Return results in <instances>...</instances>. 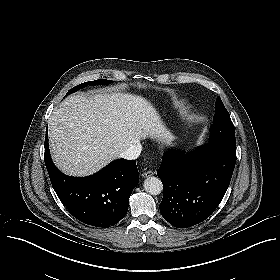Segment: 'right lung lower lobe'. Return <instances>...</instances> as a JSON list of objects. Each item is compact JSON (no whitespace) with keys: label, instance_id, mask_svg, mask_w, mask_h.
<instances>
[{"label":"right lung lower lobe","instance_id":"98d812e1","mask_svg":"<svg viewBox=\"0 0 280 280\" xmlns=\"http://www.w3.org/2000/svg\"><path fill=\"white\" fill-rule=\"evenodd\" d=\"M44 147L52 186L75 218L87 225L108 228L126 215L129 197L139 182L136 160L117 159L94 175L70 177L53 164L47 131Z\"/></svg>","mask_w":280,"mask_h":280}]
</instances>
